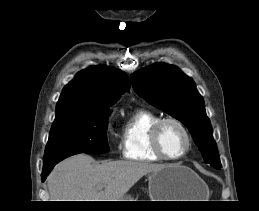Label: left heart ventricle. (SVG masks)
I'll return each instance as SVG.
<instances>
[{"label":"left heart ventricle","instance_id":"b2bd125f","mask_svg":"<svg viewBox=\"0 0 259 211\" xmlns=\"http://www.w3.org/2000/svg\"><path fill=\"white\" fill-rule=\"evenodd\" d=\"M161 143L165 153L172 157L181 154L187 146L183 131L173 123H168L163 127Z\"/></svg>","mask_w":259,"mask_h":211}]
</instances>
